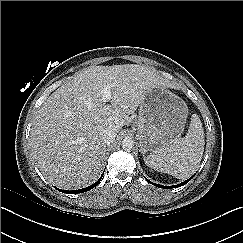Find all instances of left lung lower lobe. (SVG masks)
I'll return each mask as SVG.
<instances>
[{
    "mask_svg": "<svg viewBox=\"0 0 243 243\" xmlns=\"http://www.w3.org/2000/svg\"><path fill=\"white\" fill-rule=\"evenodd\" d=\"M193 176H194V175H193ZM193 176H192V177H193ZM192 177H191V178H192ZM191 178H190V179H191ZM190 179H189V180H190ZM146 180H147V182H149V183H151V184H153V185H155V186H157V187H160V188H168V187L163 186V185H158V184L152 183V182L149 181L148 179H146ZM189 180L184 181V182H182V183H180L179 185H176V186H174V187H173V186H170V188H176V187L183 186V185H185Z\"/></svg>",
    "mask_w": 243,
    "mask_h": 243,
    "instance_id": "left-lung-lower-lobe-1",
    "label": "left lung lower lobe"
}]
</instances>
